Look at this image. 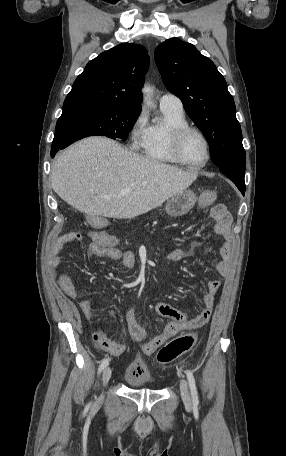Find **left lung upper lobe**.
I'll return each instance as SVG.
<instances>
[{"label": "left lung upper lobe", "mask_w": 286, "mask_h": 456, "mask_svg": "<svg viewBox=\"0 0 286 456\" xmlns=\"http://www.w3.org/2000/svg\"><path fill=\"white\" fill-rule=\"evenodd\" d=\"M156 65L170 92L205 135L214 163L221 169L246 168L236 107L224 77L194 45L171 38L155 50Z\"/></svg>", "instance_id": "left-lung-upper-lobe-1"}]
</instances>
